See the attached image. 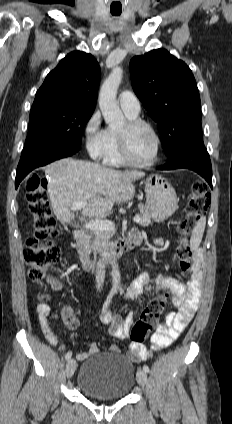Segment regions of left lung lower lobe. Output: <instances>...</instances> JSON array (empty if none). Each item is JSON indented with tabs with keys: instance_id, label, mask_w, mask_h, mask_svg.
Returning <instances> with one entry per match:
<instances>
[{
	"instance_id": "1",
	"label": "left lung lower lobe",
	"mask_w": 232,
	"mask_h": 424,
	"mask_svg": "<svg viewBox=\"0 0 232 424\" xmlns=\"http://www.w3.org/2000/svg\"><path fill=\"white\" fill-rule=\"evenodd\" d=\"M187 168L200 174L212 188V166L209 154L203 143L202 133L194 134L184 141L168 156L161 170Z\"/></svg>"
}]
</instances>
